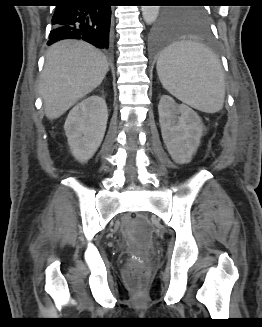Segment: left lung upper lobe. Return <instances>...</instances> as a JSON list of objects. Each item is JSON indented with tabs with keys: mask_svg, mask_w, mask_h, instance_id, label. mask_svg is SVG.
<instances>
[{
	"mask_svg": "<svg viewBox=\"0 0 262 327\" xmlns=\"http://www.w3.org/2000/svg\"><path fill=\"white\" fill-rule=\"evenodd\" d=\"M185 3H199L200 0H182ZM163 17L175 26H197L206 27L207 13L201 6H193L182 9H168L164 12Z\"/></svg>",
	"mask_w": 262,
	"mask_h": 327,
	"instance_id": "1",
	"label": "left lung upper lobe"
}]
</instances>
